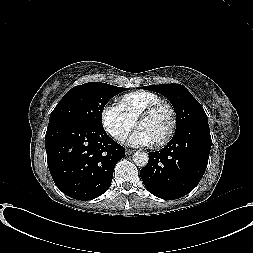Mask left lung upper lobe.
<instances>
[{
  "instance_id": "1",
  "label": "left lung upper lobe",
  "mask_w": 253,
  "mask_h": 253,
  "mask_svg": "<svg viewBox=\"0 0 253 253\" xmlns=\"http://www.w3.org/2000/svg\"><path fill=\"white\" fill-rule=\"evenodd\" d=\"M167 97L177 117L176 131L191 124L208 125V118L200 103L180 84H160L142 87Z\"/></svg>"
}]
</instances>
